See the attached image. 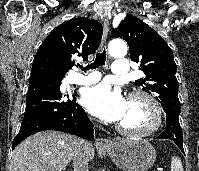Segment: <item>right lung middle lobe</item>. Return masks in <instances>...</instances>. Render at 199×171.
Masks as SVG:
<instances>
[{"mask_svg":"<svg viewBox=\"0 0 199 171\" xmlns=\"http://www.w3.org/2000/svg\"><path fill=\"white\" fill-rule=\"evenodd\" d=\"M36 77H49V78H54L56 80H58L59 82H61L63 80L64 77H59V76H48V75H45V76H36ZM36 77H30V79L32 78H36Z\"/></svg>","mask_w":199,"mask_h":171,"instance_id":"dd1d6c3e","label":"right lung middle lobe"}]
</instances>
